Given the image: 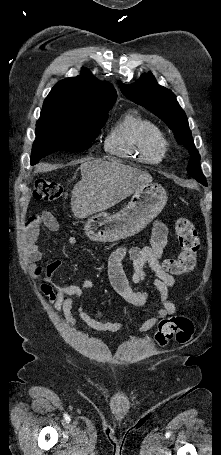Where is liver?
Wrapping results in <instances>:
<instances>
[{
  "mask_svg": "<svg viewBox=\"0 0 221 455\" xmlns=\"http://www.w3.org/2000/svg\"><path fill=\"white\" fill-rule=\"evenodd\" d=\"M79 169L82 178L72 190L71 209L80 219L113 207L153 180L149 173L115 160L85 161Z\"/></svg>",
  "mask_w": 221,
  "mask_h": 455,
  "instance_id": "obj_1",
  "label": "liver"
}]
</instances>
